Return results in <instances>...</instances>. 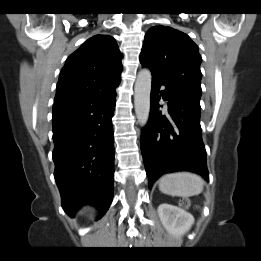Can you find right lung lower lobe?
Segmentation results:
<instances>
[{"label":"right lung lower lobe","mask_w":261,"mask_h":261,"mask_svg":"<svg viewBox=\"0 0 261 261\" xmlns=\"http://www.w3.org/2000/svg\"><path fill=\"white\" fill-rule=\"evenodd\" d=\"M115 103V88L54 102V177L71 216L91 204L101 217L112 202Z\"/></svg>","instance_id":"98d812e1"}]
</instances>
